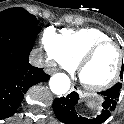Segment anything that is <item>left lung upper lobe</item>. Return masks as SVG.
Masks as SVG:
<instances>
[{"instance_id":"1","label":"left lung upper lobe","mask_w":124,"mask_h":124,"mask_svg":"<svg viewBox=\"0 0 124 124\" xmlns=\"http://www.w3.org/2000/svg\"><path fill=\"white\" fill-rule=\"evenodd\" d=\"M123 69H124V67H123ZM122 73H123V70L121 71L120 78H122Z\"/></svg>"}]
</instances>
